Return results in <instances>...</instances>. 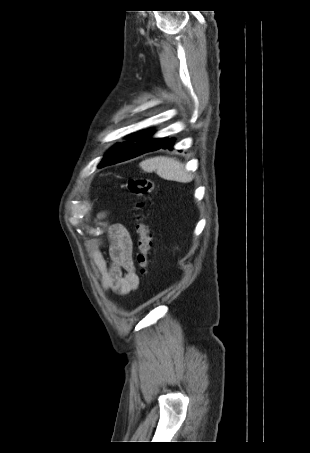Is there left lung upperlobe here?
I'll use <instances>...</instances> for the list:
<instances>
[{
	"mask_svg": "<svg viewBox=\"0 0 310 453\" xmlns=\"http://www.w3.org/2000/svg\"><path fill=\"white\" fill-rule=\"evenodd\" d=\"M132 141L116 144L99 164V168L115 164L135 157L138 152L149 144L161 139H152L151 133H142L130 137Z\"/></svg>",
	"mask_w": 310,
	"mask_h": 453,
	"instance_id": "1",
	"label": "left lung upper lobe"
}]
</instances>
